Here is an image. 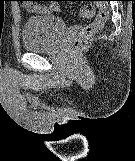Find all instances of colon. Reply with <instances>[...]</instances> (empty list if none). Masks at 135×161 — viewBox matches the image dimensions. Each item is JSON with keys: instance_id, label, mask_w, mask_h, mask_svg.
Segmentation results:
<instances>
[{"instance_id": "5ec220e1", "label": "colon", "mask_w": 135, "mask_h": 161, "mask_svg": "<svg viewBox=\"0 0 135 161\" xmlns=\"http://www.w3.org/2000/svg\"><path fill=\"white\" fill-rule=\"evenodd\" d=\"M55 1V0H52ZM98 4H85L81 7L80 15L82 18H90L95 13V7H98V13L94 20L84 26L82 31L72 41V48L79 50L85 44L87 39L100 31L104 22L109 16V7L103 1H97Z\"/></svg>"}]
</instances>
